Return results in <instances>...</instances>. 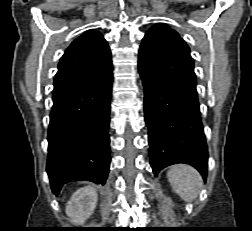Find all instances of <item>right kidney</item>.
Instances as JSON below:
<instances>
[{
  "label": "right kidney",
  "instance_id": "ca27d5eb",
  "mask_svg": "<svg viewBox=\"0 0 252 231\" xmlns=\"http://www.w3.org/2000/svg\"><path fill=\"white\" fill-rule=\"evenodd\" d=\"M97 192L93 186H85L72 194L66 205V214L74 224H83L97 204Z\"/></svg>",
  "mask_w": 252,
  "mask_h": 231
}]
</instances>
